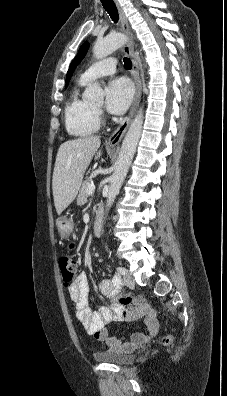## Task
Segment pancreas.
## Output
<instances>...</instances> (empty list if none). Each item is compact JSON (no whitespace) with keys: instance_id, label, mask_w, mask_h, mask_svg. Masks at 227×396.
<instances>
[{"instance_id":"pancreas-1","label":"pancreas","mask_w":227,"mask_h":396,"mask_svg":"<svg viewBox=\"0 0 227 396\" xmlns=\"http://www.w3.org/2000/svg\"><path fill=\"white\" fill-rule=\"evenodd\" d=\"M92 185V181L90 178H86L84 180V182L82 183L80 192H79V196L77 198V203L79 205H83L87 202V198H88V193H87V188Z\"/></svg>"}]
</instances>
